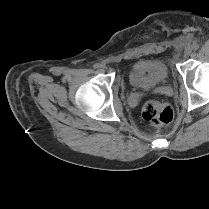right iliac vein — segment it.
Instances as JSON below:
<instances>
[{
    "instance_id": "obj_1",
    "label": "right iliac vein",
    "mask_w": 209,
    "mask_h": 209,
    "mask_svg": "<svg viewBox=\"0 0 209 209\" xmlns=\"http://www.w3.org/2000/svg\"><path fill=\"white\" fill-rule=\"evenodd\" d=\"M101 68L104 70L106 67L105 66H101Z\"/></svg>"
}]
</instances>
